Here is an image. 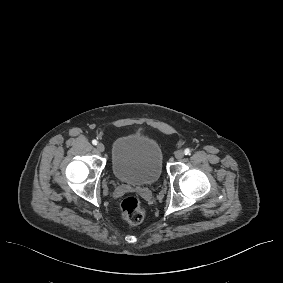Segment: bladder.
Wrapping results in <instances>:
<instances>
[{"label": "bladder", "mask_w": 283, "mask_h": 283, "mask_svg": "<svg viewBox=\"0 0 283 283\" xmlns=\"http://www.w3.org/2000/svg\"><path fill=\"white\" fill-rule=\"evenodd\" d=\"M113 173L121 182L155 183L162 171V152L155 139L142 134L119 137L113 147Z\"/></svg>", "instance_id": "obj_1"}]
</instances>
